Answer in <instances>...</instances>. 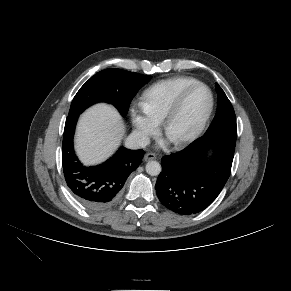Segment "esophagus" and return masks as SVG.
I'll return each instance as SVG.
<instances>
[{
    "instance_id": "34e87169",
    "label": "esophagus",
    "mask_w": 291,
    "mask_h": 291,
    "mask_svg": "<svg viewBox=\"0 0 291 291\" xmlns=\"http://www.w3.org/2000/svg\"><path fill=\"white\" fill-rule=\"evenodd\" d=\"M154 159H156V155L154 153H146L144 155L145 161L154 160Z\"/></svg>"
}]
</instances>
